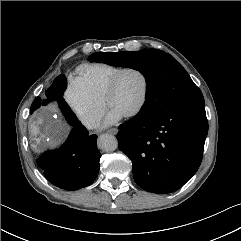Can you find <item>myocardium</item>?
<instances>
[{
	"instance_id": "myocardium-1",
	"label": "myocardium",
	"mask_w": 241,
	"mask_h": 241,
	"mask_svg": "<svg viewBox=\"0 0 241 241\" xmlns=\"http://www.w3.org/2000/svg\"><path fill=\"white\" fill-rule=\"evenodd\" d=\"M127 71L138 72L142 76L143 82H144L143 93H142V97H141L139 103L132 111H130L129 113L124 115L125 118H132V117L138 115L143 110L144 106L146 105L148 96H149V88H150L149 78L143 69L136 67V66H126V67L121 68L117 73H115L114 76L110 79V81L105 89L103 103L105 106H107L108 100L111 97V95L114 93L120 77Z\"/></svg>"
}]
</instances>
